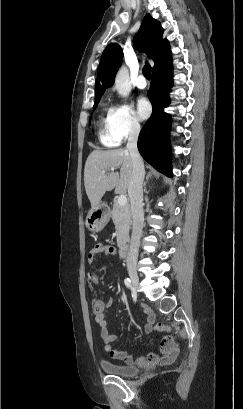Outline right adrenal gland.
Returning <instances> with one entry per match:
<instances>
[{
    "label": "right adrenal gland",
    "instance_id": "right-adrenal-gland-1",
    "mask_svg": "<svg viewBox=\"0 0 243 409\" xmlns=\"http://www.w3.org/2000/svg\"><path fill=\"white\" fill-rule=\"evenodd\" d=\"M151 178V174L150 173H148L147 174V176H146V180H145V182H144V191L146 192V185H147V182L149 181V179Z\"/></svg>",
    "mask_w": 243,
    "mask_h": 409
}]
</instances>
